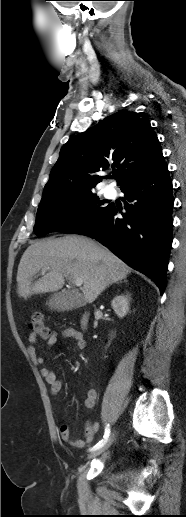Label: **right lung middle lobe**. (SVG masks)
I'll use <instances>...</instances> for the list:
<instances>
[{
  "label": "right lung middle lobe",
  "mask_w": 186,
  "mask_h": 517,
  "mask_svg": "<svg viewBox=\"0 0 186 517\" xmlns=\"http://www.w3.org/2000/svg\"><path fill=\"white\" fill-rule=\"evenodd\" d=\"M93 190L74 192L40 202L34 233L42 237L49 232H74L90 224L108 210Z\"/></svg>",
  "instance_id": "right-lung-middle-lobe-1"
}]
</instances>
